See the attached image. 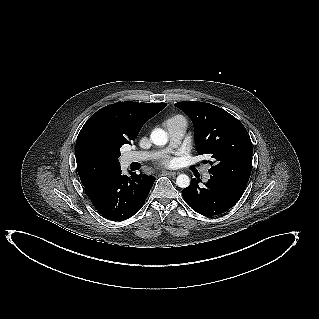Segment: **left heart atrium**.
Listing matches in <instances>:
<instances>
[{"label": "left heart atrium", "mask_w": 319, "mask_h": 319, "mask_svg": "<svg viewBox=\"0 0 319 319\" xmlns=\"http://www.w3.org/2000/svg\"><path fill=\"white\" fill-rule=\"evenodd\" d=\"M172 163V161L168 158H165L163 161H162V164L164 165H170Z\"/></svg>", "instance_id": "39dd6f15"}]
</instances>
